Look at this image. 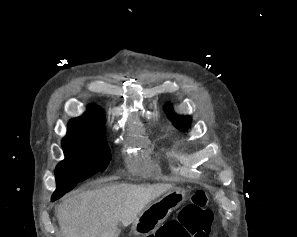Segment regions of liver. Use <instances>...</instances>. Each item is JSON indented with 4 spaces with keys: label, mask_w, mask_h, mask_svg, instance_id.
I'll return each mask as SVG.
<instances>
[{
    "label": "liver",
    "mask_w": 297,
    "mask_h": 237,
    "mask_svg": "<svg viewBox=\"0 0 297 237\" xmlns=\"http://www.w3.org/2000/svg\"><path fill=\"white\" fill-rule=\"evenodd\" d=\"M172 184H118L85 191L67 198L57 207L65 237H118V223L129 226L154 199Z\"/></svg>",
    "instance_id": "6515ba94"
}]
</instances>
